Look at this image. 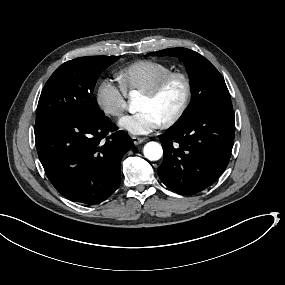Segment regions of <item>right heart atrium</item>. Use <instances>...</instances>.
<instances>
[{
	"instance_id": "right-heart-atrium-1",
	"label": "right heart atrium",
	"mask_w": 285,
	"mask_h": 285,
	"mask_svg": "<svg viewBox=\"0 0 285 285\" xmlns=\"http://www.w3.org/2000/svg\"><path fill=\"white\" fill-rule=\"evenodd\" d=\"M100 96L105 112L115 118L121 117L130 110L134 103L122 88L108 81L102 84Z\"/></svg>"
}]
</instances>
